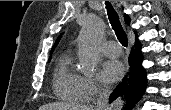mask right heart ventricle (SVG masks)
<instances>
[{"label":"right heart ventricle","mask_w":171,"mask_h":110,"mask_svg":"<svg viewBox=\"0 0 171 110\" xmlns=\"http://www.w3.org/2000/svg\"><path fill=\"white\" fill-rule=\"evenodd\" d=\"M53 89L57 97L69 102L87 100L83 77L72 67V58L63 54L53 75Z\"/></svg>","instance_id":"right-heart-ventricle-1"}]
</instances>
